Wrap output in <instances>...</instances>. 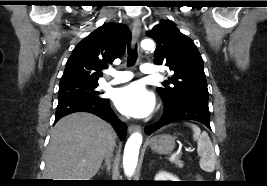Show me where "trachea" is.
<instances>
[{"label": "trachea", "mask_w": 267, "mask_h": 186, "mask_svg": "<svg viewBox=\"0 0 267 186\" xmlns=\"http://www.w3.org/2000/svg\"><path fill=\"white\" fill-rule=\"evenodd\" d=\"M127 64L132 66L135 64L137 60V46L135 48H131L130 46L127 47Z\"/></svg>", "instance_id": "trachea-1"}]
</instances>
